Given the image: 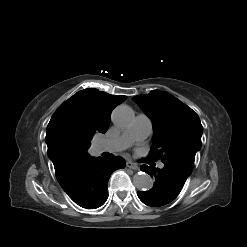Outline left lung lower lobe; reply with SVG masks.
<instances>
[{
	"label": "left lung lower lobe",
	"instance_id": "1",
	"mask_svg": "<svg viewBox=\"0 0 247 247\" xmlns=\"http://www.w3.org/2000/svg\"><path fill=\"white\" fill-rule=\"evenodd\" d=\"M141 170L155 177V184L150 191L138 192L139 199L150 206H163L174 200L189 175L175 166L164 164L162 169H155L154 166H141Z\"/></svg>",
	"mask_w": 247,
	"mask_h": 247
}]
</instances>
